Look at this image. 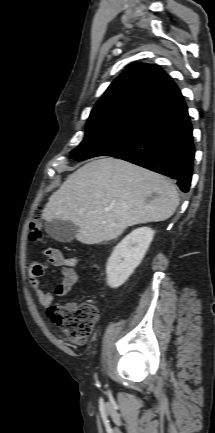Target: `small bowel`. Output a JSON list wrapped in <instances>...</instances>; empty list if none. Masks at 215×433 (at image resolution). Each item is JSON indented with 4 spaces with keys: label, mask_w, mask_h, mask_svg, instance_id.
Here are the masks:
<instances>
[{
    "label": "small bowel",
    "mask_w": 215,
    "mask_h": 433,
    "mask_svg": "<svg viewBox=\"0 0 215 433\" xmlns=\"http://www.w3.org/2000/svg\"><path fill=\"white\" fill-rule=\"evenodd\" d=\"M46 260H34L28 267V278L36 293V296L43 307H48L53 303V295L44 290L41 278L45 269L49 267L57 268L62 273V280L54 288L58 296H66L80 280V274L76 270V265L80 261L79 256L65 257L61 251L55 248H47L45 251Z\"/></svg>",
    "instance_id": "1"
}]
</instances>
